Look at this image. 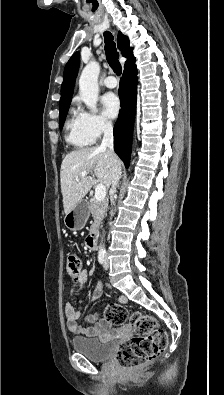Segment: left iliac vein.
Wrapping results in <instances>:
<instances>
[{
    "mask_svg": "<svg viewBox=\"0 0 224 395\" xmlns=\"http://www.w3.org/2000/svg\"><path fill=\"white\" fill-rule=\"evenodd\" d=\"M108 268H109V260H108V256L106 255L104 262V269L107 270Z\"/></svg>",
    "mask_w": 224,
    "mask_h": 395,
    "instance_id": "4c4485c4",
    "label": "left iliac vein"
}]
</instances>
